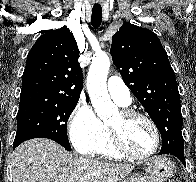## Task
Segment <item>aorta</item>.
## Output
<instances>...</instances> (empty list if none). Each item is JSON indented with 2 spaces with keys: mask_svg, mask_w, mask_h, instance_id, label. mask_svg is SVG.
Masks as SVG:
<instances>
[{
  "mask_svg": "<svg viewBox=\"0 0 196 182\" xmlns=\"http://www.w3.org/2000/svg\"><path fill=\"white\" fill-rule=\"evenodd\" d=\"M110 67V59L106 53L96 54L89 68L87 76V89L89 97L97 116L107 121L117 113V106L111 101L107 90V74Z\"/></svg>",
  "mask_w": 196,
  "mask_h": 182,
  "instance_id": "aorta-1",
  "label": "aorta"
}]
</instances>
